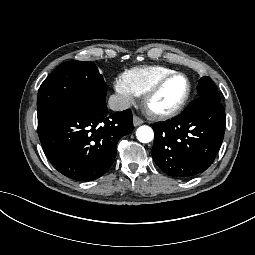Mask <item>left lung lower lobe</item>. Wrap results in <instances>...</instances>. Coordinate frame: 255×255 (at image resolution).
<instances>
[{"instance_id":"left-lung-lower-lobe-1","label":"left lung lower lobe","mask_w":255,"mask_h":255,"mask_svg":"<svg viewBox=\"0 0 255 255\" xmlns=\"http://www.w3.org/2000/svg\"><path fill=\"white\" fill-rule=\"evenodd\" d=\"M225 127L226 117L221 103L200 97L182 115L153 125V160L172 177H195L213 163Z\"/></svg>"}]
</instances>
